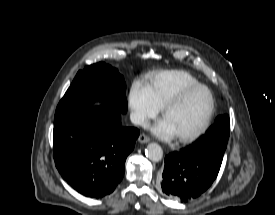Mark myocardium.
<instances>
[{
	"mask_svg": "<svg viewBox=\"0 0 275 215\" xmlns=\"http://www.w3.org/2000/svg\"><path fill=\"white\" fill-rule=\"evenodd\" d=\"M197 89H204L208 92L210 96V107L209 110L204 118V120L201 122V124L192 132L177 136L178 141L180 142H190L194 139H196L198 136H200L208 127V125L211 122V119L214 115L215 112V107H216V101L213 92L209 87H207L204 84L197 83L194 85H190L187 87H184L181 89L178 93H176L172 98H170L163 106L162 108V115L163 117L166 116V114L175 106H177L189 93L197 90Z\"/></svg>",
	"mask_w": 275,
	"mask_h": 215,
	"instance_id": "myocardium-1",
	"label": "myocardium"
}]
</instances>
